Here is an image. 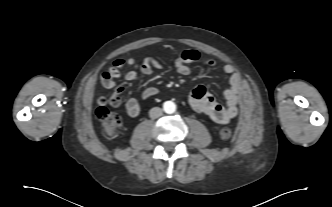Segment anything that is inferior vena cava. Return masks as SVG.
<instances>
[{"label": "inferior vena cava", "instance_id": "inferior-vena-cava-1", "mask_svg": "<svg viewBox=\"0 0 332 207\" xmlns=\"http://www.w3.org/2000/svg\"><path fill=\"white\" fill-rule=\"evenodd\" d=\"M149 116L152 119H156L160 116H162V109L159 107H154L149 111Z\"/></svg>", "mask_w": 332, "mask_h": 207}]
</instances>
